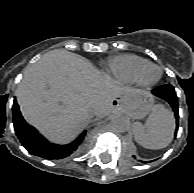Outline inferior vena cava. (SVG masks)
<instances>
[{"label": "inferior vena cava", "mask_w": 194, "mask_h": 193, "mask_svg": "<svg viewBox=\"0 0 194 193\" xmlns=\"http://www.w3.org/2000/svg\"><path fill=\"white\" fill-rule=\"evenodd\" d=\"M89 110H90V112H92V113L90 114V117H91L92 119H95V118L97 117V114H96L95 112H97V110H98L97 104H90Z\"/></svg>", "instance_id": "obj_1"}]
</instances>
